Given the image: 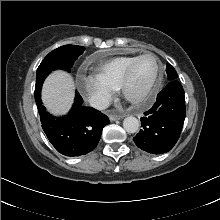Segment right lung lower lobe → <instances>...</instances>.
<instances>
[{
	"label": "right lung lower lobe",
	"instance_id": "right-lung-lower-lobe-1",
	"mask_svg": "<svg viewBox=\"0 0 220 220\" xmlns=\"http://www.w3.org/2000/svg\"><path fill=\"white\" fill-rule=\"evenodd\" d=\"M41 87L35 89V101L42 128L55 149L65 156H80L91 152L98 144L103 127L110 121L100 111L82 106L76 92L71 111L64 117H53L41 102Z\"/></svg>",
	"mask_w": 220,
	"mask_h": 220
}]
</instances>
